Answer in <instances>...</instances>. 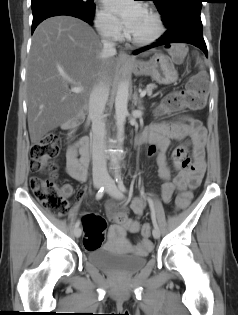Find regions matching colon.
Wrapping results in <instances>:
<instances>
[{"mask_svg": "<svg viewBox=\"0 0 238 315\" xmlns=\"http://www.w3.org/2000/svg\"><path fill=\"white\" fill-rule=\"evenodd\" d=\"M167 51L177 63L183 61L187 48L179 44H170ZM206 103V80L203 72L197 73L189 82L187 88L171 93L164 101L161 109L174 111L180 109L200 110ZM59 150V138L57 134L49 132L37 140L31 148L30 160L32 170L39 175H48V178L33 176L30 179V188L40 204L52 213L63 215L69 210L67 198L60 194L54 182L57 172L56 158ZM191 195L183 193L175 200L176 210L185 209L190 203ZM113 220L118 224H124L128 217L126 209L119 204L109 207ZM84 227V247L97 248L102 244L106 231V221L99 215L87 214L82 217ZM143 237L151 234L149 224H144L141 229Z\"/></svg>", "mask_w": 238, "mask_h": 315, "instance_id": "5ec220e1", "label": "colon"}]
</instances>
